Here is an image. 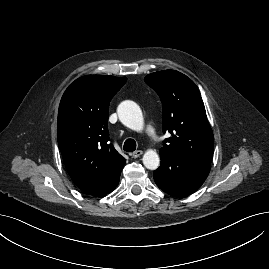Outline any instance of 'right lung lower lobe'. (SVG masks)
<instances>
[{
	"label": "right lung lower lobe",
	"instance_id": "98d812e1",
	"mask_svg": "<svg viewBox=\"0 0 269 269\" xmlns=\"http://www.w3.org/2000/svg\"><path fill=\"white\" fill-rule=\"evenodd\" d=\"M119 178H120V175L112 183H110L109 185H107L106 187H104L103 189H101L100 191L94 193L93 195H95V196H102V195H105V194L110 193L118 185Z\"/></svg>",
	"mask_w": 269,
	"mask_h": 269
}]
</instances>
